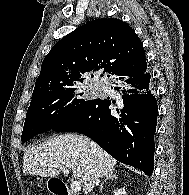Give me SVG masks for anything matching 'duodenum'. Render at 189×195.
Returning <instances> with one entry per match:
<instances>
[{
  "label": "duodenum",
  "instance_id": "410a0bca",
  "mask_svg": "<svg viewBox=\"0 0 189 195\" xmlns=\"http://www.w3.org/2000/svg\"><path fill=\"white\" fill-rule=\"evenodd\" d=\"M51 191L53 195H72L66 185L60 180H55L53 182L51 186Z\"/></svg>",
  "mask_w": 189,
  "mask_h": 195
}]
</instances>
